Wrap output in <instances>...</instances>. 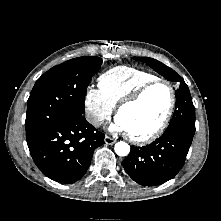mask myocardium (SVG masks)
<instances>
[{"label": "myocardium", "instance_id": "myocardium-1", "mask_svg": "<svg viewBox=\"0 0 221 221\" xmlns=\"http://www.w3.org/2000/svg\"><path fill=\"white\" fill-rule=\"evenodd\" d=\"M157 84H165L169 89L170 102H169V107L167 109V112L162 122L160 123V125L151 133L143 135V136H134L128 132V137L133 143L144 144V143L152 142L155 139H157L167 128L172 118V115L174 113V109L176 105V93H175L174 87L168 80H165L162 78H156V79H153L151 81L144 83L143 85L138 87L136 90H134L132 93H130L128 96H126L117 104L116 119H118L120 112L124 108L137 103L143 97V95L146 93L148 89H150L152 86L157 85Z\"/></svg>", "mask_w": 221, "mask_h": 221}]
</instances>
